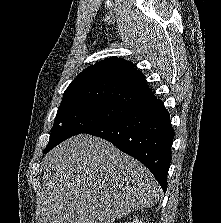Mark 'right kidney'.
<instances>
[{
  "label": "right kidney",
  "mask_w": 221,
  "mask_h": 223,
  "mask_svg": "<svg viewBox=\"0 0 221 223\" xmlns=\"http://www.w3.org/2000/svg\"><path fill=\"white\" fill-rule=\"evenodd\" d=\"M127 223V222H126ZM128 223H142L141 220H139L138 218L134 219L132 222H128Z\"/></svg>",
  "instance_id": "ca27d5eb"
}]
</instances>
